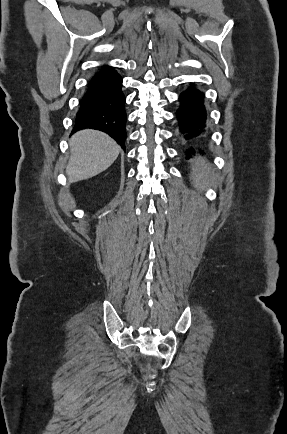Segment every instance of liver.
<instances>
[{
  "label": "liver",
  "instance_id": "liver-1",
  "mask_svg": "<svg viewBox=\"0 0 287 434\" xmlns=\"http://www.w3.org/2000/svg\"><path fill=\"white\" fill-rule=\"evenodd\" d=\"M71 156L66 168L69 182L92 178L110 167L117 159L120 146L107 134L82 130L69 141Z\"/></svg>",
  "mask_w": 287,
  "mask_h": 434
}]
</instances>
